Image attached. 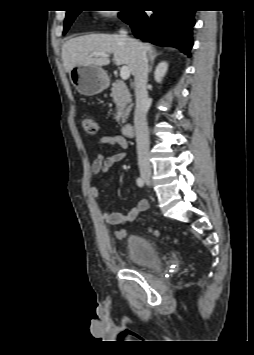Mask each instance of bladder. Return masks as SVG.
I'll list each match as a JSON object with an SVG mask.
<instances>
[{
	"mask_svg": "<svg viewBox=\"0 0 254 355\" xmlns=\"http://www.w3.org/2000/svg\"><path fill=\"white\" fill-rule=\"evenodd\" d=\"M127 256L140 268L157 269L162 263L157 245L152 240L137 234L128 238Z\"/></svg>",
	"mask_w": 254,
	"mask_h": 355,
	"instance_id": "31cf9c89",
	"label": "bladder"
}]
</instances>
